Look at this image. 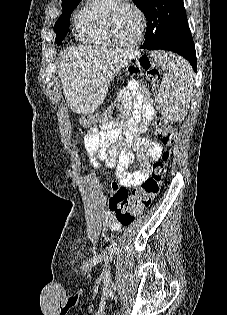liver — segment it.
<instances>
[{
  "label": "liver",
  "mask_w": 227,
  "mask_h": 315,
  "mask_svg": "<svg viewBox=\"0 0 227 315\" xmlns=\"http://www.w3.org/2000/svg\"><path fill=\"white\" fill-rule=\"evenodd\" d=\"M135 56L105 46L70 47L63 56L58 75L72 112L88 115L103 103L117 73Z\"/></svg>",
  "instance_id": "obj_1"
}]
</instances>
